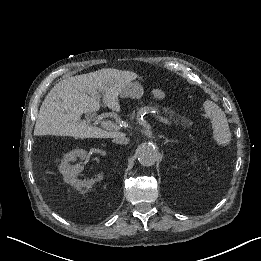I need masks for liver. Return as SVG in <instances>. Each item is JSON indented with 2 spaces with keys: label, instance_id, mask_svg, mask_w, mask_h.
Here are the masks:
<instances>
[{
  "label": "liver",
  "instance_id": "6515ba94",
  "mask_svg": "<svg viewBox=\"0 0 261 261\" xmlns=\"http://www.w3.org/2000/svg\"><path fill=\"white\" fill-rule=\"evenodd\" d=\"M138 79L137 74L101 70L70 77L57 83L41 105L34 129L35 136H63L79 139L114 138L121 131L90 126L81 121L83 114L100 110V93L104 103L122 112L119 97L126 86Z\"/></svg>",
  "mask_w": 261,
  "mask_h": 261
}]
</instances>
